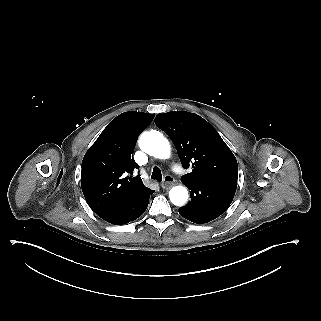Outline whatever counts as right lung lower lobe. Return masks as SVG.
Instances as JSON below:
<instances>
[{
	"label": "right lung lower lobe",
	"mask_w": 321,
	"mask_h": 321,
	"mask_svg": "<svg viewBox=\"0 0 321 321\" xmlns=\"http://www.w3.org/2000/svg\"><path fill=\"white\" fill-rule=\"evenodd\" d=\"M153 193L154 191L148 188L143 193L126 202L125 204L102 211L97 213V215L114 225L126 224L137 219L144 213L149 203V197Z\"/></svg>",
	"instance_id": "98d812e1"
}]
</instances>
